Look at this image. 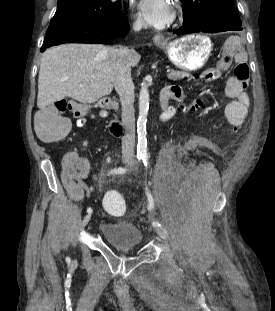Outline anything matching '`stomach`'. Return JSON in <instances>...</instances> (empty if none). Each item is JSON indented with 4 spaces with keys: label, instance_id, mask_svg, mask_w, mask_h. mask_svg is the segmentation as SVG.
<instances>
[{
    "label": "stomach",
    "instance_id": "obj_1",
    "mask_svg": "<svg viewBox=\"0 0 275 311\" xmlns=\"http://www.w3.org/2000/svg\"><path fill=\"white\" fill-rule=\"evenodd\" d=\"M169 60L182 70L195 71L202 68L208 61L212 43L210 39L201 34H192L181 39L158 45Z\"/></svg>",
    "mask_w": 275,
    "mask_h": 311
}]
</instances>
